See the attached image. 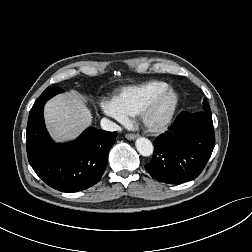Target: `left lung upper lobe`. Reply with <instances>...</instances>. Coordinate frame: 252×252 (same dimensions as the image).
<instances>
[{
	"mask_svg": "<svg viewBox=\"0 0 252 252\" xmlns=\"http://www.w3.org/2000/svg\"><path fill=\"white\" fill-rule=\"evenodd\" d=\"M203 111L211 112L210 106H209V104L207 103V100H206L205 98H204V101H203Z\"/></svg>",
	"mask_w": 252,
	"mask_h": 252,
	"instance_id": "left-lung-upper-lobe-1",
	"label": "left lung upper lobe"
}]
</instances>
